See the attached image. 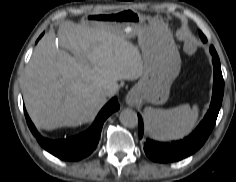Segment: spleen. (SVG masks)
Instances as JSON below:
<instances>
[{
    "mask_svg": "<svg viewBox=\"0 0 236 182\" xmlns=\"http://www.w3.org/2000/svg\"><path fill=\"white\" fill-rule=\"evenodd\" d=\"M199 114L197 105H179L171 109L144 110L147 132L158 140L180 139L189 134L195 127Z\"/></svg>",
    "mask_w": 236,
    "mask_h": 182,
    "instance_id": "spleen-1",
    "label": "spleen"
}]
</instances>
